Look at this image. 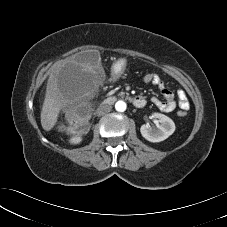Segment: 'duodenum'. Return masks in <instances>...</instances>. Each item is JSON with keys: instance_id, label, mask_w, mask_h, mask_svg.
Segmentation results:
<instances>
[{"instance_id": "410a0bca", "label": "duodenum", "mask_w": 227, "mask_h": 227, "mask_svg": "<svg viewBox=\"0 0 227 227\" xmlns=\"http://www.w3.org/2000/svg\"><path fill=\"white\" fill-rule=\"evenodd\" d=\"M122 97L128 99L137 108H143L146 105V100L141 96L123 95ZM114 102H115V98H109L104 103L112 104Z\"/></svg>"}]
</instances>
